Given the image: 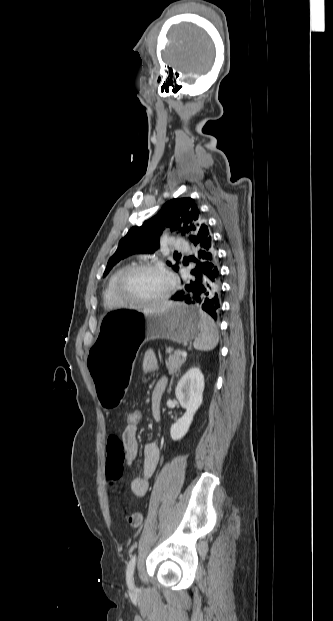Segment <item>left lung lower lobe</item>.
<instances>
[{
    "label": "left lung lower lobe",
    "mask_w": 333,
    "mask_h": 621,
    "mask_svg": "<svg viewBox=\"0 0 333 621\" xmlns=\"http://www.w3.org/2000/svg\"><path fill=\"white\" fill-rule=\"evenodd\" d=\"M192 242L197 248V259H192L197 264L191 271L195 279L187 281L184 289L176 293L172 300L198 304L216 319L221 306L222 286L218 254L209 226H203Z\"/></svg>",
    "instance_id": "obj_1"
}]
</instances>
